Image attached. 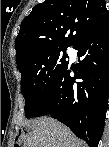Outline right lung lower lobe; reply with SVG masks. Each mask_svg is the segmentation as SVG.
<instances>
[{"instance_id":"right-lung-lower-lobe-1","label":"right lung lower lobe","mask_w":109,"mask_h":147,"mask_svg":"<svg viewBox=\"0 0 109 147\" xmlns=\"http://www.w3.org/2000/svg\"><path fill=\"white\" fill-rule=\"evenodd\" d=\"M82 58L77 67L67 64L35 117L51 115L90 147L101 139L109 94V17L74 46ZM75 73L74 77L70 72Z\"/></svg>"}]
</instances>
